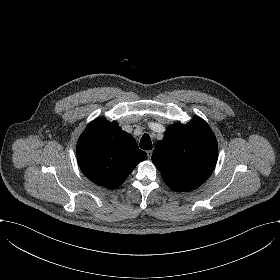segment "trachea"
I'll use <instances>...</instances> for the list:
<instances>
[{"label": "trachea", "instance_id": "trachea-1", "mask_svg": "<svg viewBox=\"0 0 280 280\" xmlns=\"http://www.w3.org/2000/svg\"><path fill=\"white\" fill-rule=\"evenodd\" d=\"M140 148L143 150L152 149V142H151L150 136L147 133L143 134V136L141 137Z\"/></svg>", "mask_w": 280, "mask_h": 280}]
</instances>
